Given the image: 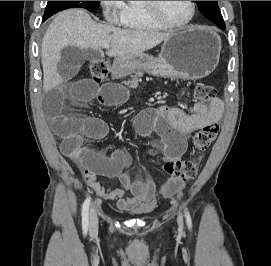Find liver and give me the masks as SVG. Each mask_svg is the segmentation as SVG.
Here are the masks:
<instances>
[{
    "label": "liver",
    "instance_id": "obj_1",
    "mask_svg": "<svg viewBox=\"0 0 271 266\" xmlns=\"http://www.w3.org/2000/svg\"><path fill=\"white\" fill-rule=\"evenodd\" d=\"M170 36V33L102 25L83 9L65 10L51 22L42 40L43 89L48 92L63 82L57 62L67 46L98 51L102 45L109 44L107 56L124 57L150 50Z\"/></svg>",
    "mask_w": 271,
    "mask_h": 266
}]
</instances>
